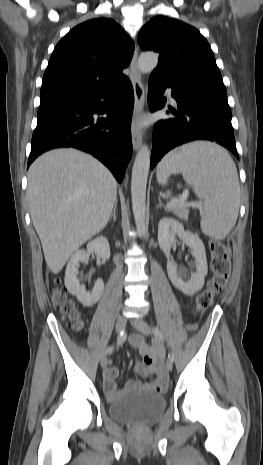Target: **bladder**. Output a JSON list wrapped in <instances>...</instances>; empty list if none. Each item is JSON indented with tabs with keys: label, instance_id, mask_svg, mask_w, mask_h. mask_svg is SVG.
I'll list each match as a JSON object with an SVG mask.
<instances>
[{
	"label": "bladder",
	"instance_id": "bladder-1",
	"mask_svg": "<svg viewBox=\"0 0 263 465\" xmlns=\"http://www.w3.org/2000/svg\"><path fill=\"white\" fill-rule=\"evenodd\" d=\"M166 401L161 394L150 390H138L126 393L110 402L109 416L120 423L148 426L161 418Z\"/></svg>",
	"mask_w": 263,
	"mask_h": 465
}]
</instances>
